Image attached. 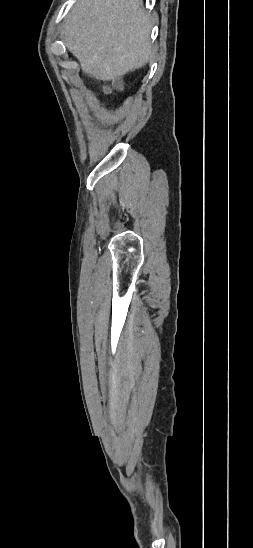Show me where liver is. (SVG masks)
Instances as JSON below:
<instances>
[{
    "label": "liver",
    "mask_w": 253,
    "mask_h": 548,
    "mask_svg": "<svg viewBox=\"0 0 253 548\" xmlns=\"http://www.w3.org/2000/svg\"><path fill=\"white\" fill-rule=\"evenodd\" d=\"M151 28L142 0H78L62 34L86 74L110 81L151 59Z\"/></svg>",
    "instance_id": "liver-1"
}]
</instances>
